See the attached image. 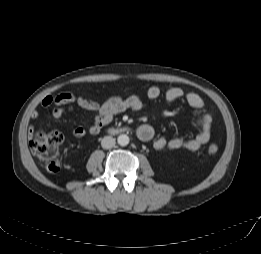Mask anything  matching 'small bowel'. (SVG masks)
<instances>
[{"instance_id":"c3829d8e","label":"small bowel","mask_w":261,"mask_h":254,"mask_svg":"<svg viewBox=\"0 0 261 254\" xmlns=\"http://www.w3.org/2000/svg\"><path fill=\"white\" fill-rule=\"evenodd\" d=\"M146 97L150 100H156L163 97L166 101L184 100L187 105L198 112L197 124L200 132L191 139L184 137L167 138L165 136H156L152 126L144 124L137 130L139 139L146 143H152L157 150L170 149H186L190 151L199 150L211 138L212 118L205 110L202 98L193 92H187L179 87H172L162 92L157 86H151L147 89ZM41 105L43 107H53L52 117L60 119L66 112L73 111L79 107L90 111L94 114V122L89 128L79 126L73 130L76 138H81L90 134H98L104 127L108 126L114 117L126 110L139 112L144 105V101L140 96H111L103 103H97L89 99L84 93L73 94L64 92L56 96H45ZM32 118H37L39 112L34 110L31 113ZM34 128H29V135L32 136Z\"/></svg>"}]
</instances>
